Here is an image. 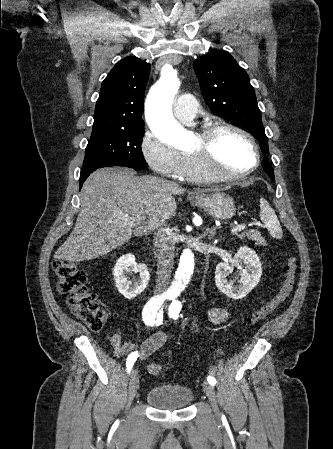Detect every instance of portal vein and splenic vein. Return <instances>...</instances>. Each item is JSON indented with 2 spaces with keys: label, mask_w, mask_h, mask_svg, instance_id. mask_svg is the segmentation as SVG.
Segmentation results:
<instances>
[{
  "label": "portal vein and splenic vein",
  "mask_w": 333,
  "mask_h": 449,
  "mask_svg": "<svg viewBox=\"0 0 333 449\" xmlns=\"http://www.w3.org/2000/svg\"><path fill=\"white\" fill-rule=\"evenodd\" d=\"M124 217H125V218H129L130 215L125 214ZM140 219H141V218L138 217V219H137V222H138V223H140V221H141ZM244 229H245V225H237V226L233 227L231 231H232V232H239V231H242V230H244Z\"/></svg>",
  "instance_id": "1"
}]
</instances>
